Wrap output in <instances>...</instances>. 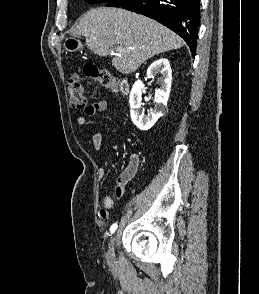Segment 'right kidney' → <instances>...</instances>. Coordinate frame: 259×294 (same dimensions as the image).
Masks as SVG:
<instances>
[{"instance_id":"obj_1","label":"right kidney","mask_w":259,"mask_h":294,"mask_svg":"<svg viewBox=\"0 0 259 294\" xmlns=\"http://www.w3.org/2000/svg\"><path fill=\"white\" fill-rule=\"evenodd\" d=\"M157 73L162 75L161 88L155 91V106L147 115L144 114V109H141L142 88L144 87L141 80L134 83L130 93L131 119L143 131L150 129L165 112L172 81V70L168 59L160 58L154 61L147 69L145 80L153 78Z\"/></svg>"}]
</instances>
